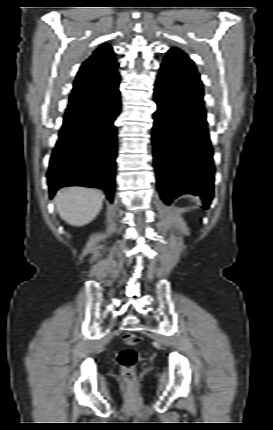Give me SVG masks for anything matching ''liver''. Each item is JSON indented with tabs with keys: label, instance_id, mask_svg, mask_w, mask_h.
I'll return each instance as SVG.
<instances>
[{
	"label": "liver",
	"instance_id": "obj_1",
	"mask_svg": "<svg viewBox=\"0 0 273 430\" xmlns=\"http://www.w3.org/2000/svg\"><path fill=\"white\" fill-rule=\"evenodd\" d=\"M103 195L94 189L68 187L55 196V204L60 217L73 226L90 223L102 208Z\"/></svg>",
	"mask_w": 273,
	"mask_h": 430
}]
</instances>
